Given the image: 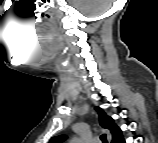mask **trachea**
<instances>
[{
    "label": "trachea",
    "mask_w": 158,
    "mask_h": 143,
    "mask_svg": "<svg viewBox=\"0 0 158 143\" xmlns=\"http://www.w3.org/2000/svg\"><path fill=\"white\" fill-rule=\"evenodd\" d=\"M101 140H102V142L106 143V142H107V140H106V135L103 134V135L101 136Z\"/></svg>",
    "instance_id": "obj_1"
}]
</instances>
